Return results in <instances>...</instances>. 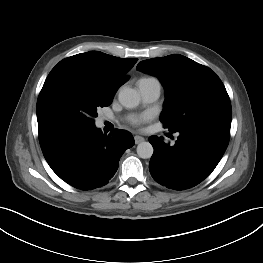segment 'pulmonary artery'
Masks as SVG:
<instances>
[{"mask_svg":"<svg viewBox=\"0 0 263 263\" xmlns=\"http://www.w3.org/2000/svg\"><path fill=\"white\" fill-rule=\"evenodd\" d=\"M137 89L144 103L155 102L161 93V84L155 78H142L137 82Z\"/></svg>","mask_w":263,"mask_h":263,"instance_id":"e3ab8cb5","label":"pulmonary artery"}]
</instances>
